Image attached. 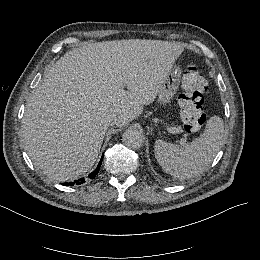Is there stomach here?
<instances>
[{
	"label": "stomach",
	"instance_id": "0dacf381",
	"mask_svg": "<svg viewBox=\"0 0 260 260\" xmlns=\"http://www.w3.org/2000/svg\"><path fill=\"white\" fill-rule=\"evenodd\" d=\"M181 70L172 69L165 78V81L159 91L158 105H169L180 87Z\"/></svg>",
	"mask_w": 260,
	"mask_h": 260
}]
</instances>
